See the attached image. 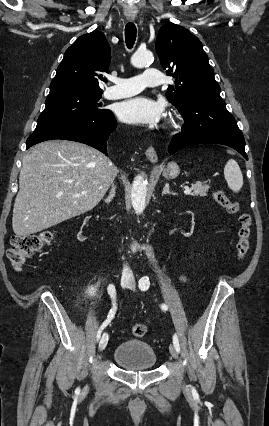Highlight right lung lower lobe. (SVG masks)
I'll return each mask as SVG.
<instances>
[{
  "mask_svg": "<svg viewBox=\"0 0 269 426\" xmlns=\"http://www.w3.org/2000/svg\"><path fill=\"white\" fill-rule=\"evenodd\" d=\"M117 122L110 110L96 116L82 118L50 127L29 136L26 149L52 139H64L90 145L107 155V140L116 129Z\"/></svg>",
  "mask_w": 269,
  "mask_h": 426,
  "instance_id": "obj_1",
  "label": "right lung lower lobe"
}]
</instances>
